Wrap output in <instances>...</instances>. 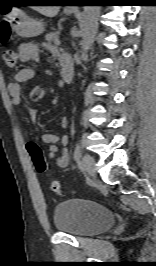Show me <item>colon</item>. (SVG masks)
I'll return each instance as SVG.
<instances>
[{"instance_id": "5ec220e1", "label": "colon", "mask_w": 156, "mask_h": 266, "mask_svg": "<svg viewBox=\"0 0 156 266\" xmlns=\"http://www.w3.org/2000/svg\"><path fill=\"white\" fill-rule=\"evenodd\" d=\"M11 29L8 23H3L0 26V38L2 41L7 40L10 37ZM2 59L8 68H14L18 61V55L17 53L12 49H7L2 54ZM27 150L29 152V155L31 157L32 163L35 167V169L39 173H45L48 170L47 163L45 160V157L43 155L42 150L40 147L34 143L30 142L27 144ZM50 188L53 192L57 194H61L60 191V185L56 180H52L50 183Z\"/></svg>"}]
</instances>
